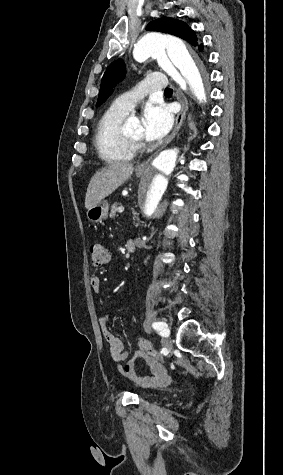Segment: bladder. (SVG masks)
<instances>
[{
	"label": "bladder",
	"instance_id": "31cf9c89",
	"mask_svg": "<svg viewBox=\"0 0 283 475\" xmlns=\"http://www.w3.org/2000/svg\"><path fill=\"white\" fill-rule=\"evenodd\" d=\"M154 397H155V399H157V400H159V401H161V400L164 399V396L161 395V394H156Z\"/></svg>",
	"mask_w": 283,
	"mask_h": 475
}]
</instances>
